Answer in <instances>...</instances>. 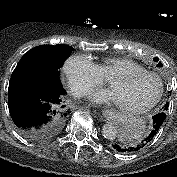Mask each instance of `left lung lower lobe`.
<instances>
[{
	"label": "left lung lower lobe",
	"instance_id": "obj_1",
	"mask_svg": "<svg viewBox=\"0 0 177 177\" xmlns=\"http://www.w3.org/2000/svg\"><path fill=\"white\" fill-rule=\"evenodd\" d=\"M166 118V114L164 112L156 114L153 116V129L151 131V133L149 134L148 137H146L141 143L137 144V145H122L119 143H113L112 147L118 151V152H122V153H131V152H136L140 149H142L143 147H145L148 143H150L152 141V139L154 138V136L158 133L161 125L163 124L164 120Z\"/></svg>",
	"mask_w": 177,
	"mask_h": 177
}]
</instances>
